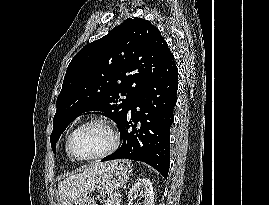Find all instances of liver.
<instances>
[{"label":"liver","instance_id":"1","mask_svg":"<svg viewBox=\"0 0 269 205\" xmlns=\"http://www.w3.org/2000/svg\"><path fill=\"white\" fill-rule=\"evenodd\" d=\"M107 164L108 162L90 164L82 173L69 176L59 182L58 192L61 205H70L74 200L95 190Z\"/></svg>","mask_w":269,"mask_h":205}]
</instances>
